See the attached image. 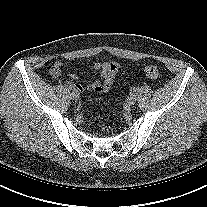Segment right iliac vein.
Returning <instances> with one entry per match:
<instances>
[{
	"label": "right iliac vein",
	"mask_w": 207,
	"mask_h": 207,
	"mask_svg": "<svg viewBox=\"0 0 207 207\" xmlns=\"http://www.w3.org/2000/svg\"><path fill=\"white\" fill-rule=\"evenodd\" d=\"M73 100L77 101L79 99V93L78 91L74 90L71 94Z\"/></svg>",
	"instance_id": "1"
}]
</instances>
